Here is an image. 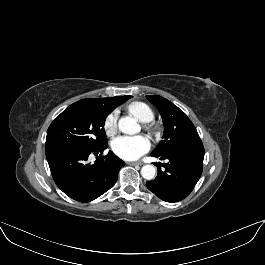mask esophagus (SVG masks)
I'll return each mask as SVG.
<instances>
[{"label": "esophagus", "mask_w": 265, "mask_h": 265, "mask_svg": "<svg viewBox=\"0 0 265 265\" xmlns=\"http://www.w3.org/2000/svg\"><path fill=\"white\" fill-rule=\"evenodd\" d=\"M130 165H138V166H141L143 165L142 162H131Z\"/></svg>", "instance_id": "obj_1"}]
</instances>
